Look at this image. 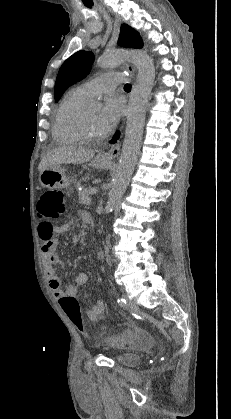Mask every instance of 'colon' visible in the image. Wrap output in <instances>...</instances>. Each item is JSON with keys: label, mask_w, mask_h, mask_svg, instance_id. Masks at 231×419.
<instances>
[{"label": "colon", "mask_w": 231, "mask_h": 419, "mask_svg": "<svg viewBox=\"0 0 231 419\" xmlns=\"http://www.w3.org/2000/svg\"><path fill=\"white\" fill-rule=\"evenodd\" d=\"M65 195L60 189H51L45 191L37 203V211L40 217L45 219H58L65 213ZM60 306L73 324L85 333L80 306L75 297L63 296L60 299ZM123 338H110L107 343L111 346H121Z\"/></svg>", "instance_id": "5ec220e1"}]
</instances>
